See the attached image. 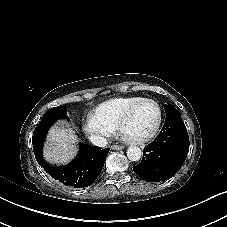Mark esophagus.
I'll list each match as a JSON object with an SVG mask.
<instances>
[{"label": "esophagus", "mask_w": 227, "mask_h": 227, "mask_svg": "<svg viewBox=\"0 0 227 227\" xmlns=\"http://www.w3.org/2000/svg\"><path fill=\"white\" fill-rule=\"evenodd\" d=\"M125 146L124 145H112L111 149L112 150H120V149H124Z\"/></svg>", "instance_id": "1"}]
</instances>
